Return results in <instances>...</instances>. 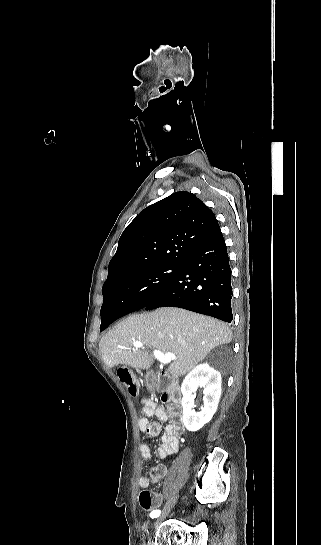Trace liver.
Masks as SVG:
<instances>
[{
    "label": "liver",
    "instance_id": "liver-1",
    "mask_svg": "<svg viewBox=\"0 0 321 545\" xmlns=\"http://www.w3.org/2000/svg\"><path fill=\"white\" fill-rule=\"evenodd\" d=\"M134 341L145 347L133 349ZM232 333L225 323L184 309L162 307L152 313L131 315L102 337L101 357L107 367L127 365L150 369L154 355L148 349L173 353L176 361L169 367L173 379L183 377L201 363L208 353L231 343Z\"/></svg>",
    "mask_w": 321,
    "mask_h": 545
}]
</instances>
